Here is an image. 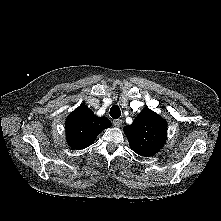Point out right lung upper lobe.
I'll use <instances>...</instances> for the list:
<instances>
[{
  "label": "right lung upper lobe",
  "mask_w": 221,
  "mask_h": 221,
  "mask_svg": "<svg viewBox=\"0 0 221 221\" xmlns=\"http://www.w3.org/2000/svg\"><path fill=\"white\" fill-rule=\"evenodd\" d=\"M110 126L107 117H97L86 105L81 104L66 119L67 142L73 149H84L94 142L102 130Z\"/></svg>",
  "instance_id": "1"
}]
</instances>
